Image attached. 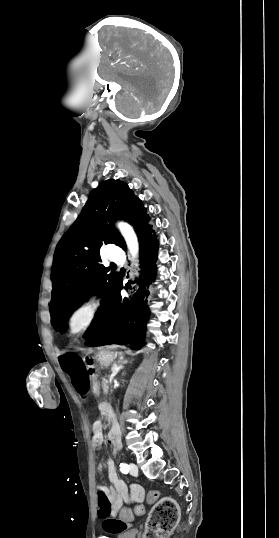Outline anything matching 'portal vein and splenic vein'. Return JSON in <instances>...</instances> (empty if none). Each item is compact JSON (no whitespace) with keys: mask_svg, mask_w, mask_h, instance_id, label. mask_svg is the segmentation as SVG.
Masks as SVG:
<instances>
[{"mask_svg":"<svg viewBox=\"0 0 279 538\" xmlns=\"http://www.w3.org/2000/svg\"><path fill=\"white\" fill-rule=\"evenodd\" d=\"M105 383H109V380H105Z\"/></svg>","mask_w":279,"mask_h":538,"instance_id":"portal-vein-and-splenic-vein-1","label":"portal vein and splenic vein"}]
</instances>
